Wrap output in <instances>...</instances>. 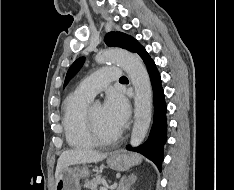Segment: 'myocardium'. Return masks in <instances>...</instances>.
Returning a JSON list of instances; mask_svg holds the SVG:
<instances>
[{
    "label": "myocardium",
    "mask_w": 234,
    "mask_h": 190,
    "mask_svg": "<svg viewBox=\"0 0 234 190\" xmlns=\"http://www.w3.org/2000/svg\"><path fill=\"white\" fill-rule=\"evenodd\" d=\"M85 119L86 123L89 129V132L93 139L96 141V143H101V144H110L115 142L120 136H121V130H118L117 132L111 134V135H106L103 134L97 124L95 123L90 109H87L85 112Z\"/></svg>",
    "instance_id": "1"
}]
</instances>
